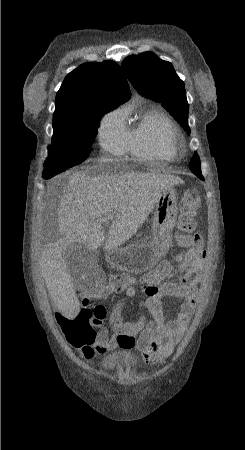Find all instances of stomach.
Returning a JSON list of instances; mask_svg holds the SVG:
<instances>
[{
  "label": "stomach",
  "instance_id": "obj_1",
  "mask_svg": "<svg viewBox=\"0 0 245 450\" xmlns=\"http://www.w3.org/2000/svg\"><path fill=\"white\" fill-rule=\"evenodd\" d=\"M176 195L174 186H170L158 198L153 214L151 241L109 250L106 254L108 263L119 270L135 274L155 267L171 244L178 214Z\"/></svg>",
  "mask_w": 245,
  "mask_h": 450
}]
</instances>
